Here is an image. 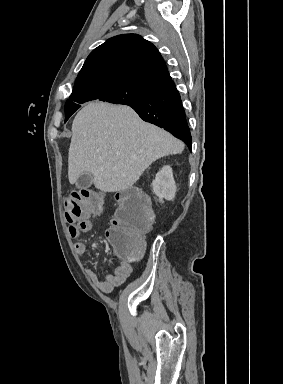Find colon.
<instances>
[{"label":"colon","mask_w":283,"mask_h":384,"mask_svg":"<svg viewBox=\"0 0 283 384\" xmlns=\"http://www.w3.org/2000/svg\"><path fill=\"white\" fill-rule=\"evenodd\" d=\"M104 204L105 197L101 192L72 190L64 199L66 221L76 226L88 215L102 212ZM152 223L148 201L139 190L131 188L118 194L117 209L107 233L116 256L128 262L140 258L145 250L144 235Z\"/></svg>","instance_id":"1"}]
</instances>
